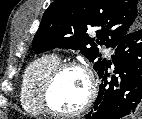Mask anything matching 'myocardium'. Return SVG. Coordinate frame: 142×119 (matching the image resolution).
Instances as JSON below:
<instances>
[{"instance_id":"f54148a6","label":"myocardium","mask_w":142,"mask_h":119,"mask_svg":"<svg viewBox=\"0 0 142 119\" xmlns=\"http://www.w3.org/2000/svg\"><path fill=\"white\" fill-rule=\"evenodd\" d=\"M69 69H76L81 71L84 74L87 80L88 90H87L85 101L79 108L73 111L64 112V111H60L56 109L52 105L50 95L57 78L64 71ZM96 95H97V81L92 70L86 64H83L77 61H65V62L59 63L46 76L42 84L40 100L47 113L51 115L59 116V117H74L88 110L94 103Z\"/></svg>"}]
</instances>
